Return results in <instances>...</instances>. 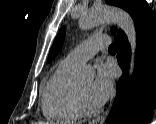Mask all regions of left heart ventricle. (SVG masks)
Masks as SVG:
<instances>
[{
    "label": "left heart ventricle",
    "instance_id": "1",
    "mask_svg": "<svg viewBox=\"0 0 156 124\" xmlns=\"http://www.w3.org/2000/svg\"><path fill=\"white\" fill-rule=\"evenodd\" d=\"M79 88L81 89L82 93L84 94L86 100L90 105L96 106L98 105L92 98L91 95V87H92V80H85L78 84Z\"/></svg>",
    "mask_w": 156,
    "mask_h": 124
}]
</instances>
